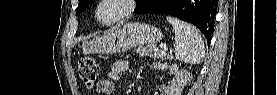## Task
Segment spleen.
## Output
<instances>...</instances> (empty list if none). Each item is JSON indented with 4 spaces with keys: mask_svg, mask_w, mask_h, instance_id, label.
<instances>
[{
    "mask_svg": "<svg viewBox=\"0 0 277 95\" xmlns=\"http://www.w3.org/2000/svg\"><path fill=\"white\" fill-rule=\"evenodd\" d=\"M175 32L174 54L177 60L188 64L200 63L205 49L199 32L191 24L173 17H167Z\"/></svg>",
    "mask_w": 277,
    "mask_h": 95,
    "instance_id": "obj_1",
    "label": "spleen"
}]
</instances>
